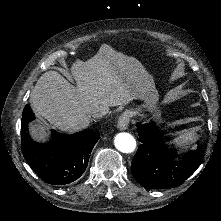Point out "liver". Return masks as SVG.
I'll return each instance as SVG.
<instances>
[{
    "mask_svg": "<svg viewBox=\"0 0 221 221\" xmlns=\"http://www.w3.org/2000/svg\"><path fill=\"white\" fill-rule=\"evenodd\" d=\"M112 53L111 47L102 44L88 61L75 60L71 70L76 85L57 71L43 73L30 95L35 114L71 135L89 127L95 107L114 106L126 102L130 95L135 96L136 88L146 83L140 79L143 70H130L114 62ZM27 129L30 138L38 143L45 142L50 135L41 121H31Z\"/></svg>",
    "mask_w": 221,
    "mask_h": 221,
    "instance_id": "6515ba94",
    "label": "liver"
}]
</instances>
